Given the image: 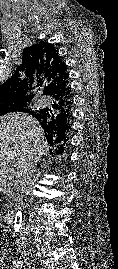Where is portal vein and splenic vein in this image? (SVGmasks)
<instances>
[{
	"instance_id": "1",
	"label": "portal vein and splenic vein",
	"mask_w": 118,
	"mask_h": 269,
	"mask_svg": "<svg viewBox=\"0 0 118 269\" xmlns=\"http://www.w3.org/2000/svg\"><path fill=\"white\" fill-rule=\"evenodd\" d=\"M9 171H12V170H9ZM9 171L8 170L7 171L4 170L3 172H9Z\"/></svg>"
}]
</instances>
